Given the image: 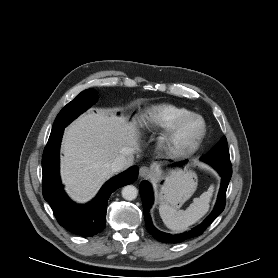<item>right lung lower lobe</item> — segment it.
Instances as JSON below:
<instances>
[{
	"instance_id": "obj_1",
	"label": "right lung lower lobe",
	"mask_w": 278,
	"mask_h": 278,
	"mask_svg": "<svg viewBox=\"0 0 278 278\" xmlns=\"http://www.w3.org/2000/svg\"><path fill=\"white\" fill-rule=\"evenodd\" d=\"M63 130L51 132L43 152V196L62 227L76 235L91 237L105 228L107 203L111 193L133 183L138 176V167H131L110 179L90 204L77 205L65 194L59 176V148Z\"/></svg>"
}]
</instances>
